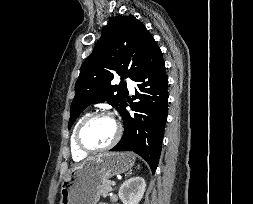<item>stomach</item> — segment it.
Listing matches in <instances>:
<instances>
[{
	"label": "stomach",
	"instance_id": "stomach-1",
	"mask_svg": "<svg viewBox=\"0 0 253 204\" xmlns=\"http://www.w3.org/2000/svg\"><path fill=\"white\" fill-rule=\"evenodd\" d=\"M131 153H102L74 167L61 187L59 204H97L99 187L114 175L134 165Z\"/></svg>",
	"mask_w": 253,
	"mask_h": 204
}]
</instances>
